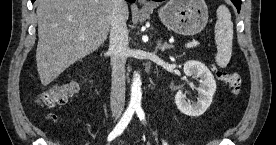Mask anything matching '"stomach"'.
<instances>
[{
    "label": "stomach",
    "mask_w": 276,
    "mask_h": 145,
    "mask_svg": "<svg viewBox=\"0 0 276 145\" xmlns=\"http://www.w3.org/2000/svg\"><path fill=\"white\" fill-rule=\"evenodd\" d=\"M162 23L181 35H195L208 22V8L204 0H170L159 10Z\"/></svg>",
    "instance_id": "1"
}]
</instances>
